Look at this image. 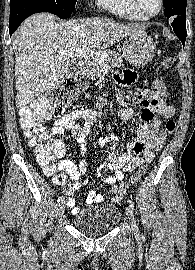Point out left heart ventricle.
I'll list each match as a JSON object with an SVG mask.
<instances>
[{
  "instance_id": "b2bd125f",
  "label": "left heart ventricle",
  "mask_w": 195,
  "mask_h": 270,
  "mask_svg": "<svg viewBox=\"0 0 195 270\" xmlns=\"http://www.w3.org/2000/svg\"><path fill=\"white\" fill-rule=\"evenodd\" d=\"M137 3L144 13H154L159 8V0H137Z\"/></svg>"
}]
</instances>
